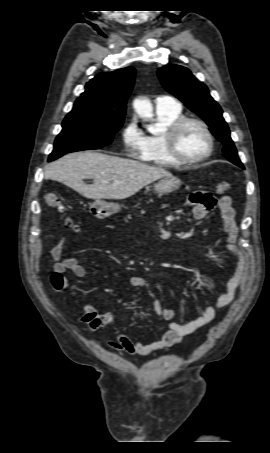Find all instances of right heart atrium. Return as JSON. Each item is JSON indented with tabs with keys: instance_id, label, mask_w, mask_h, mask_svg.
Here are the masks:
<instances>
[{
	"instance_id": "1",
	"label": "right heart atrium",
	"mask_w": 270,
	"mask_h": 453,
	"mask_svg": "<svg viewBox=\"0 0 270 453\" xmlns=\"http://www.w3.org/2000/svg\"><path fill=\"white\" fill-rule=\"evenodd\" d=\"M145 135L135 118L130 119L122 131V142L128 156L139 155L144 145Z\"/></svg>"
}]
</instances>
